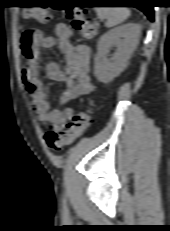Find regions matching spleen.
I'll list each match as a JSON object with an SVG mask.
<instances>
[{"label": "spleen", "mask_w": 170, "mask_h": 231, "mask_svg": "<svg viewBox=\"0 0 170 231\" xmlns=\"http://www.w3.org/2000/svg\"><path fill=\"white\" fill-rule=\"evenodd\" d=\"M95 11L99 19H106V27L110 28L125 21L130 11L126 7H96Z\"/></svg>", "instance_id": "spleen-1"}]
</instances>
